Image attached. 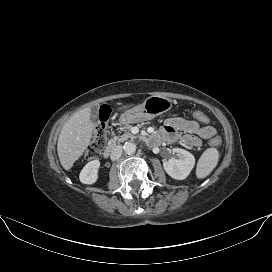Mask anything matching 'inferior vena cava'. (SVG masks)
Masks as SVG:
<instances>
[{
  "label": "inferior vena cava",
  "mask_w": 272,
  "mask_h": 272,
  "mask_svg": "<svg viewBox=\"0 0 272 272\" xmlns=\"http://www.w3.org/2000/svg\"><path fill=\"white\" fill-rule=\"evenodd\" d=\"M122 155V146L117 145L113 148L111 154H110V158L111 160H117L121 157Z\"/></svg>",
  "instance_id": "1"
}]
</instances>
